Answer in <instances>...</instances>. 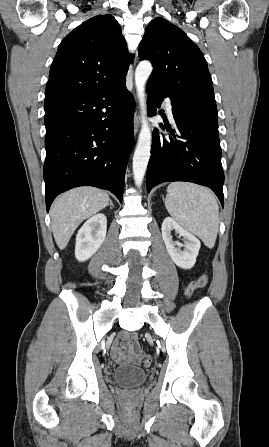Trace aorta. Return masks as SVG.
<instances>
[{"instance_id":"762f6f07","label":"aorta","mask_w":269,"mask_h":447,"mask_svg":"<svg viewBox=\"0 0 269 447\" xmlns=\"http://www.w3.org/2000/svg\"><path fill=\"white\" fill-rule=\"evenodd\" d=\"M152 64L148 60H143L135 70V86L139 100L141 114V130L138 136L136 150L133 156V174L136 186L140 188L145 176L147 164L150 160L151 150V128L147 122L145 84L152 72Z\"/></svg>"}]
</instances>
